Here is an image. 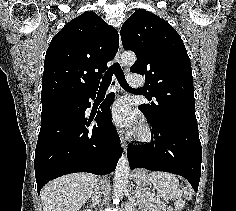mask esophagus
I'll use <instances>...</instances> for the list:
<instances>
[{"label": "esophagus", "mask_w": 236, "mask_h": 211, "mask_svg": "<svg viewBox=\"0 0 236 211\" xmlns=\"http://www.w3.org/2000/svg\"><path fill=\"white\" fill-rule=\"evenodd\" d=\"M121 54H122V42H121V38H120V34H119V47H118V51H117V54H116V60L118 62H120ZM118 135H119V138H120V143H121L122 148L124 150H126L127 143H126V139L123 135V132L121 130H118Z\"/></svg>", "instance_id": "34e87169"}]
</instances>
